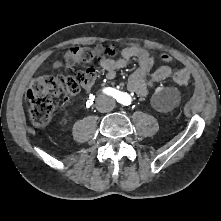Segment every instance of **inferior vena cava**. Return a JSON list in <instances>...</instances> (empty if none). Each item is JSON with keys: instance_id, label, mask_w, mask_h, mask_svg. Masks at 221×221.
I'll use <instances>...</instances> for the list:
<instances>
[{"instance_id": "602c4592", "label": "inferior vena cava", "mask_w": 221, "mask_h": 221, "mask_svg": "<svg viewBox=\"0 0 221 221\" xmlns=\"http://www.w3.org/2000/svg\"><path fill=\"white\" fill-rule=\"evenodd\" d=\"M115 107V100L109 96L103 95L97 101V110L105 113L110 112Z\"/></svg>"}]
</instances>
